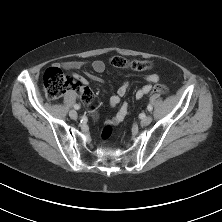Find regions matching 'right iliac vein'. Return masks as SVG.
Masks as SVG:
<instances>
[{"instance_id": "63e3f726", "label": "right iliac vein", "mask_w": 222, "mask_h": 222, "mask_svg": "<svg viewBox=\"0 0 222 222\" xmlns=\"http://www.w3.org/2000/svg\"><path fill=\"white\" fill-rule=\"evenodd\" d=\"M69 116H70V118H72V119H77V117H78V114H77V112L75 111V110H71L70 112H69Z\"/></svg>"}]
</instances>
